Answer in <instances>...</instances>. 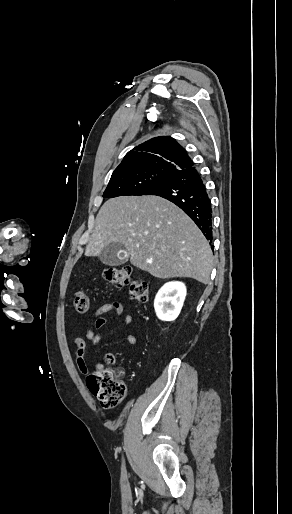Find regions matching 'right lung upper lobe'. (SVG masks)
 <instances>
[{
  "mask_svg": "<svg viewBox=\"0 0 292 514\" xmlns=\"http://www.w3.org/2000/svg\"><path fill=\"white\" fill-rule=\"evenodd\" d=\"M193 167V162L170 136L152 138L129 151L112 176L142 172L173 174Z\"/></svg>",
  "mask_w": 292,
  "mask_h": 514,
  "instance_id": "1",
  "label": "right lung upper lobe"
}]
</instances>
